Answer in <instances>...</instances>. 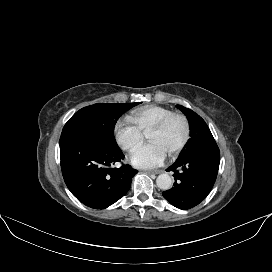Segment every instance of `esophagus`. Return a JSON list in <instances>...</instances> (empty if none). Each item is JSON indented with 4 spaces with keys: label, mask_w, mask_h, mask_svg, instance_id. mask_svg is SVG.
<instances>
[{
    "label": "esophagus",
    "mask_w": 272,
    "mask_h": 272,
    "mask_svg": "<svg viewBox=\"0 0 272 272\" xmlns=\"http://www.w3.org/2000/svg\"><path fill=\"white\" fill-rule=\"evenodd\" d=\"M162 170H145L147 174H160Z\"/></svg>",
    "instance_id": "34e87169"
}]
</instances>
